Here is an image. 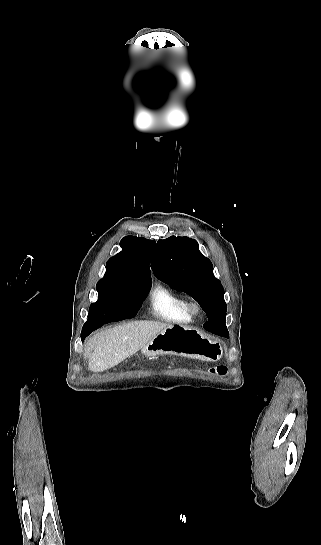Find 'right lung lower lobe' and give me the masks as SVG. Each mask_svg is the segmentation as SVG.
<instances>
[{
  "mask_svg": "<svg viewBox=\"0 0 321 545\" xmlns=\"http://www.w3.org/2000/svg\"><path fill=\"white\" fill-rule=\"evenodd\" d=\"M139 296L124 294L111 299L96 310L95 319L86 322L82 328L81 340L106 323L133 318L141 307Z\"/></svg>",
  "mask_w": 321,
  "mask_h": 545,
  "instance_id": "1",
  "label": "right lung lower lobe"
}]
</instances>
